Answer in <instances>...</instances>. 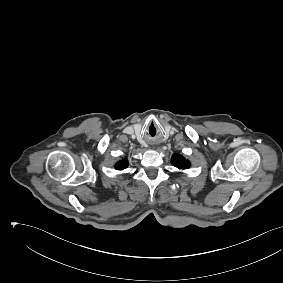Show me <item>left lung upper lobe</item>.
Listing matches in <instances>:
<instances>
[{"label": "left lung upper lobe", "mask_w": 283, "mask_h": 283, "mask_svg": "<svg viewBox=\"0 0 283 283\" xmlns=\"http://www.w3.org/2000/svg\"><path fill=\"white\" fill-rule=\"evenodd\" d=\"M171 162L179 169H188L190 167V162L179 154L173 155Z\"/></svg>", "instance_id": "left-lung-upper-lobe-1"}]
</instances>
